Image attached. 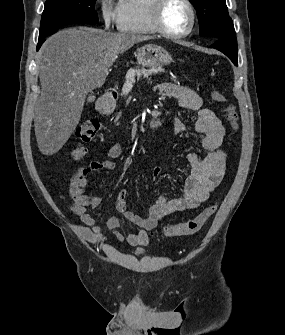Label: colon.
Instances as JSON below:
<instances>
[{
    "instance_id": "5ec220e1",
    "label": "colon",
    "mask_w": 285,
    "mask_h": 335,
    "mask_svg": "<svg viewBox=\"0 0 285 335\" xmlns=\"http://www.w3.org/2000/svg\"><path fill=\"white\" fill-rule=\"evenodd\" d=\"M211 98L217 103H225L226 97L218 90H211ZM226 117L231 127L234 130L238 129V114L233 105L229 104L225 108ZM99 130V122L95 119H88L84 121L76 130V138L78 145L72 151V155L76 160H80L85 154L84 144L93 141ZM217 211V205L213 204L206 207L194 218L189 220L169 225L164 229V233L169 236H186L192 235L202 229L206 222Z\"/></svg>"
}]
</instances>
